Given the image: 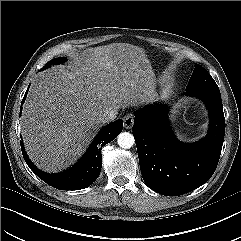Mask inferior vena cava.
I'll return each instance as SVG.
<instances>
[{
	"mask_svg": "<svg viewBox=\"0 0 241 241\" xmlns=\"http://www.w3.org/2000/svg\"><path fill=\"white\" fill-rule=\"evenodd\" d=\"M118 111L117 110H111V111H107L105 112L103 115H101V117L99 118V120L101 121V123H109L111 121H114L117 117Z\"/></svg>",
	"mask_w": 241,
	"mask_h": 241,
	"instance_id": "obj_1",
	"label": "inferior vena cava"
}]
</instances>
